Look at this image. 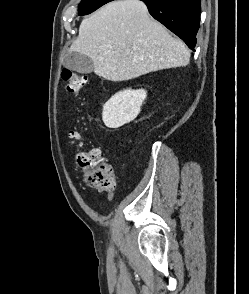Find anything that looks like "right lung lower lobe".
<instances>
[{
	"mask_svg": "<svg viewBox=\"0 0 249 294\" xmlns=\"http://www.w3.org/2000/svg\"><path fill=\"white\" fill-rule=\"evenodd\" d=\"M149 13L179 36L190 49L196 45L201 0H141Z\"/></svg>",
	"mask_w": 249,
	"mask_h": 294,
	"instance_id": "obj_1",
	"label": "right lung lower lobe"
}]
</instances>
